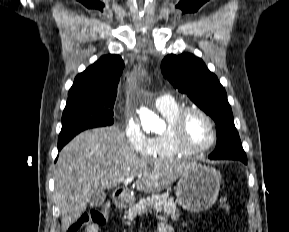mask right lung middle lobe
<instances>
[{"instance_id":"1","label":"right lung middle lobe","mask_w":289,"mask_h":232,"mask_svg":"<svg viewBox=\"0 0 289 232\" xmlns=\"http://www.w3.org/2000/svg\"><path fill=\"white\" fill-rule=\"evenodd\" d=\"M115 99L116 97H80L67 100L58 147L64 146L83 130L112 125Z\"/></svg>"}]
</instances>
